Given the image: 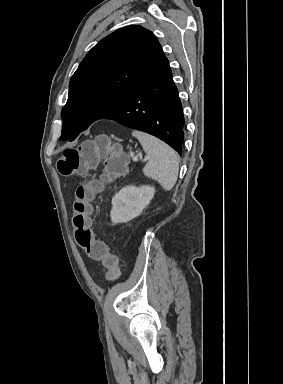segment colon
<instances>
[{
    "instance_id": "1",
    "label": "colon",
    "mask_w": 283,
    "mask_h": 384,
    "mask_svg": "<svg viewBox=\"0 0 283 384\" xmlns=\"http://www.w3.org/2000/svg\"><path fill=\"white\" fill-rule=\"evenodd\" d=\"M100 161L104 162V174L79 185L75 190L72 225L76 243L91 259L100 261L106 269V279L114 281L120 275L118 258L110 252L105 242L94 238L91 229L92 202L106 183L126 172L127 156L112 145L106 136L99 135L76 147L64 149L57 162V169L64 177L79 175L94 168Z\"/></svg>"
}]
</instances>
